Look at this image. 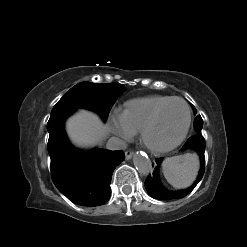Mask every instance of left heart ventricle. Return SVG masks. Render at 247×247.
I'll use <instances>...</instances> for the list:
<instances>
[{
    "mask_svg": "<svg viewBox=\"0 0 247 247\" xmlns=\"http://www.w3.org/2000/svg\"><path fill=\"white\" fill-rule=\"evenodd\" d=\"M187 110L182 102L170 103L160 114L149 131L148 138L154 144H167L177 139L186 124Z\"/></svg>",
    "mask_w": 247,
    "mask_h": 247,
    "instance_id": "1",
    "label": "left heart ventricle"
}]
</instances>
